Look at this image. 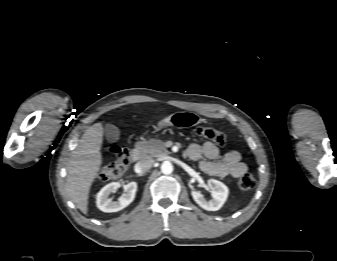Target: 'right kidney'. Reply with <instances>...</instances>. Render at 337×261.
I'll return each instance as SVG.
<instances>
[{"mask_svg":"<svg viewBox=\"0 0 337 261\" xmlns=\"http://www.w3.org/2000/svg\"><path fill=\"white\" fill-rule=\"evenodd\" d=\"M119 187V183L112 182L100 190L97 194L96 204L101 211L117 212L127 207L134 200L137 191L136 182L124 185L125 193L117 201H113L109 196L111 193H115Z\"/></svg>","mask_w":337,"mask_h":261,"instance_id":"1","label":"right kidney"}]
</instances>
